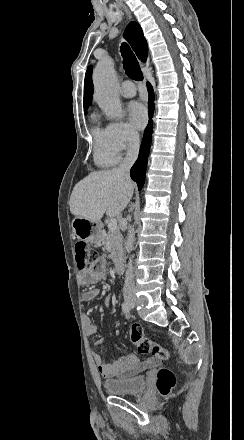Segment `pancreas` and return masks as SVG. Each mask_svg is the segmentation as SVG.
Instances as JSON below:
<instances>
[{"label":"pancreas","mask_w":244,"mask_h":440,"mask_svg":"<svg viewBox=\"0 0 244 440\" xmlns=\"http://www.w3.org/2000/svg\"><path fill=\"white\" fill-rule=\"evenodd\" d=\"M98 242H103L104 250L109 252L112 262H117L118 258L123 256V236L120 230H109L106 234L101 230ZM107 242L109 246H106Z\"/></svg>","instance_id":"pancreas-1"}]
</instances>
